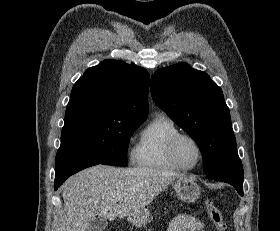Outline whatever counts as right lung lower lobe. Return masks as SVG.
<instances>
[{
    "label": "right lung lower lobe",
    "mask_w": 280,
    "mask_h": 231,
    "mask_svg": "<svg viewBox=\"0 0 280 231\" xmlns=\"http://www.w3.org/2000/svg\"><path fill=\"white\" fill-rule=\"evenodd\" d=\"M55 164L54 188L55 190H57L71 175L87 167L98 165L99 163L74 158L60 157L56 158Z\"/></svg>",
    "instance_id": "1"
}]
</instances>
